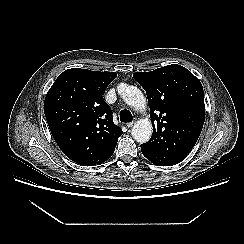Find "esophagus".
<instances>
[{
	"instance_id": "obj_1",
	"label": "esophagus",
	"mask_w": 244,
	"mask_h": 244,
	"mask_svg": "<svg viewBox=\"0 0 244 244\" xmlns=\"http://www.w3.org/2000/svg\"><path fill=\"white\" fill-rule=\"evenodd\" d=\"M133 125H134V122H129V123L126 124V126H127L128 128H131Z\"/></svg>"
}]
</instances>
